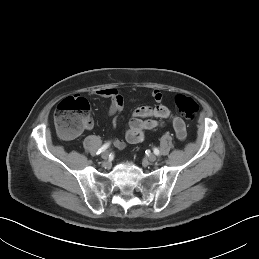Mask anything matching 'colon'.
Segmentation results:
<instances>
[{"mask_svg":"<svg viewBox=\"0 0 259 259\" xmlns=\"http://www.w3.org/2000/svg\"><path fill=\"white\" fill-rule=\"evenodd\" d=\"M175 104L179 112L187 119H193L198 112V104L186 95H177ZM91 121V109L88 101L82 97L71 96L62 100L54 116L57 131L66 139L77 137Z\"/></svg>","mask_w":259,"mask_h":259,"instance_id":"1","label":"colon"}]
</instances>
